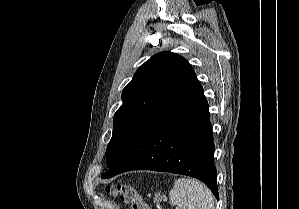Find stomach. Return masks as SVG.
Returning a JSON list of instances; mask_svg holds the SVG:
<instances>
[{
  "instance_id": "obj_1",
  "label": "stomach",
  "mask_w": 299,
  "mask_h": 209,
  "mask_svg": "<svg viewBox=\"0 0 299 209\" xmlns=\"http://www.w3.org/2000/svg\"><path fill=\"white\" fill-rule=\"evenodd\" d=\"M164 195L161 192H156L154 194V203L159 204L162 200H164Z\"/></svg>"
}]
</instances>
